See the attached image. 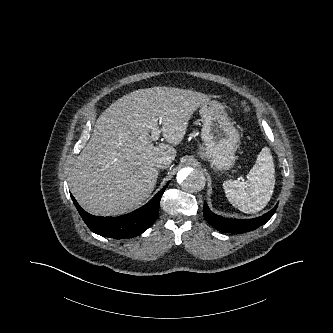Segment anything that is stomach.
Masks as SVG:
<instances>
[{
	"instance_id": "1",
	"label": "stomach",
	"mask_w": 333,
	"mask_h": 333,
	"mask_svg": "<svg viewBox=\"0 0 333 333\" xmlns=\"http://www.w3.org/2000/svg\"><path fill=\"white\" fill-rule=\"evenodd\" d=\"M202 117L199 155L208 160L215 170L230 169L236 160L235 152L240 144V134L228 117L223 104L207 101L200 106Z\"/></svg>"
}]
</instances>
